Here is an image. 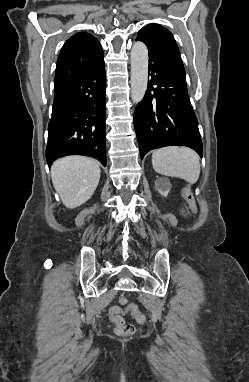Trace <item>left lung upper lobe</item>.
<instances>
[{
    "label": "left lung upper lobe",
    "mask_w": 249,
    "mask_h": 382,
    "mask_svg": "<svg viewBox=\"0 0 249 382\" xmlns=\"http://www.w3.org/2000/svg\"><path fill=\"white\" fill-rule=\"evenodd\" d=\"M137 39L147 45L149 54L185 75L178 46L169 30L158 24H148L139 31Z\"/></svg>",
    "instance_id": "obj_1"
}]
</instances>
